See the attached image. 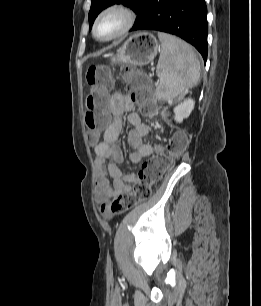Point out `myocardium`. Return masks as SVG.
I'll return each mask as SVG.
<instances>
[{
	"mask_svg": "<svg viewBox=\"0 0 261 306\" xmlns=\"http://www.w3.org/2000/svg\"><path fill=\"white\" fill-rule=\"evenodd\" d=\"M110 14H118L123 18L122 27L108 37H99L97 34L98 27L102 20ZM135 22L136 12L133 8L124 3H113L105 7L96 17L92 27V35L96 40L101 42L112 41L128 33L135 25Z\"/></svg>",
	"mask_w": 261,
	"mask_h": 306,
	"instance_id": "myocardium-1",
	"label": "myocardium"
}]
</instances>
